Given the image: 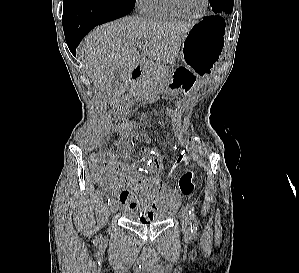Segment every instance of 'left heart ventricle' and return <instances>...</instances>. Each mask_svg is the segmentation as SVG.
<instances>
[{
  "label": "left heart ventricle",
  "instance_id": "1",
  "mask_svg": "<svg viewBox=\"0 0 299 273\" xmlns=\"http://www.w3.org/2000/svg\"><path fill=\"white\" fill-rule=\"evenodd\" d=\"M182 9L188 14L199 13L204 6V0H178Z\"/></svg>",
  "mask_w": 299,
  "mask_h": 273
}]
</instances>
